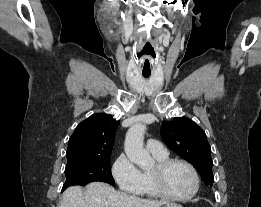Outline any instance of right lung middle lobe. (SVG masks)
<instances>
[{"label":"right lung middle lobe","mask_w":261,"mask_h":207,"mask_svg":"<svg viewBox=\"0 0 261 207\" xmlns=\"http://www.w3.org/2000/svg\"><path fill=\"white\" fill-rule=\"evenodd\" d=\"M66 182L62 191L69 186L102 181L114 185L110 169V157L68 162L65 168Z\"/></svg>","instance_id":"right-lung-middle-lobe-1"}]
</instances>
